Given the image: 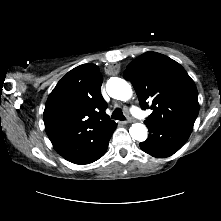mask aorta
Here are the masks:
<instances>
[{
  "label": "aorta",
  "instance_id": "obj_1",
  "mask_svg": "<svg viewBox=\"0 0 221 221\" xmlns=\"http://www.w3.org/2000/svg\"><path fill=\"white\" fill-rule=\"evenodd\" d=\"M106 89L110 97L121 101L129 100L133 93L129 83L117 77H113L107 82ZM129 133L134 140L140 142L145 141L148 136L146 126L141 123L133 124L129 129Z\"/></svg>",
  "mask_w": 221,
  "mask_h": 221
}]
</instances>
